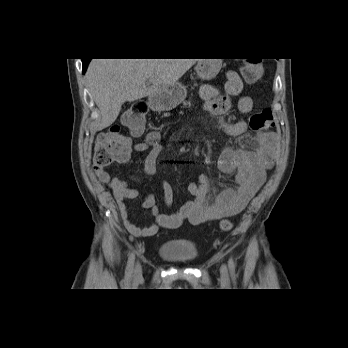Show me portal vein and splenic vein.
Listing matches in <instances>:
<instances>
[{
	"label": "portal vein and splenic vein",
	"mask_w": 348,
	"mask_h": 348,
	"mask_svg": "<svg viewBox=\"0 0 348 348\" xmlns=\"http://www.w3.org/2000/svg\"><path fill=\"white\" fill-rule=\"evenodd\" d=\"M154 80L153 79H150L149 82L152 83Z\"/></svg>",
	"instance_id": "18ae733b"
}]
</instances>
